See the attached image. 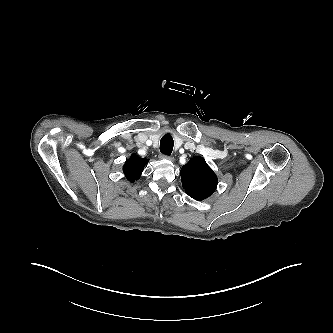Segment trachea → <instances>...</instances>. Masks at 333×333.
<instances>
[{
  "mask_svg": "<svg viewBox=\"0 0 333 333\" xmlns=\"http://www.w3.org/2000/svg\"><path fill=\"white\" fill-rule=\"evenodd\" d=\"M174 141L171 135L165 134L160 141V151L162 154L170 155L172 153Z\"/></svg>",
  "mask_w": 333,
  "mask_h": 333,
  "instance_id": "1",
  "label": "trachea"
}]
</instances>
